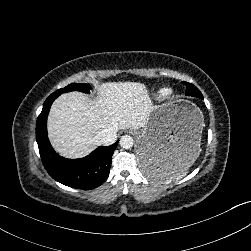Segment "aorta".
<instances>
[{
	"label": "aorta",
	"mask_w": 251,
	"mask_h": 251,
	"mask_svg": "<svg viewBox=\"0 0 251 251\" xmlns=\"http://www.w3.org/2000/svg\"><path fill=\"white\" fill-rule=\"evenodd\" d=\"M133 142H134V139L130 135L121 136L120 141H119L121 147L125 149L131 148L133 146Z\"/></svg>",
	"instance_id": "1"
}]
</instances>
